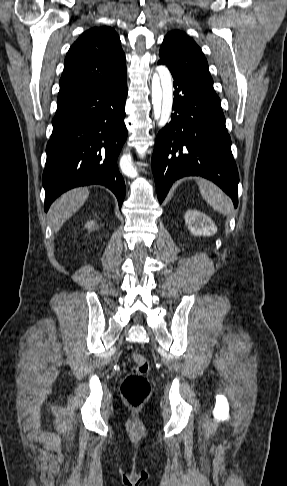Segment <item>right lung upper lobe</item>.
<instances>
[{
	"mask_svg": "<svg viewBox=\"0 0 287 486\" xmlns=\"http://www.w3.org/2000/svg\"><path fill=\"white\" fill-rule=\"evenodd\" d=\"M111 27L85 31L70 47L59 85L57 107L126 79L125 54Z\"/></svg>",
	"mask_w": 287,
	"mask_h": 486,
	"instance_id": "cb5924a9",
	"label": "right lung upper lobe"
}]
</instances>
